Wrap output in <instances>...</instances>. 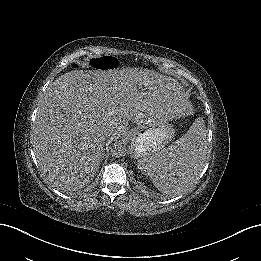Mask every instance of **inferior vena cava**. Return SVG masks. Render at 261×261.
Returning <instances> with one entry per match:
<instances>
[{
    "label": "inferior vena cava",
    "mask_w": 261,
    "mask_h": 261,
    "mask_svg": "<svg viewBox=\"0 0 261 261\" xmlns=\"http://www.w3.org/2000/svg\"><path fill=\"white\" fill-rule=\"evenodd\" d=\"M114 134H117V132L116 133L110 132L108 136H111V135H114Z\"/></svg>",
    "instance_id": "1"
}]
</instances>
